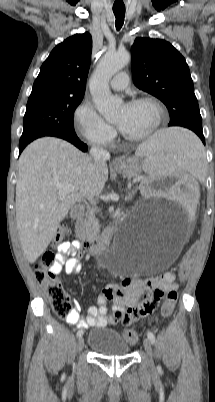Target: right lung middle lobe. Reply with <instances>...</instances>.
Listing matches in <instances>:
<instances>
[{
    "mask_svg": "<svg viewBox=\"0 0 215 402\" xmlns=\"http://www.w3.org/2000/svg\"><path fill=\"white\" fill-rule=\"evenodd\" d=\"M83 96L42 93L30 96L19 145L43 136L74 134L73 115Z\"/></svg>",
    "mask_w": 215,
    "mask_h": 402,
    "instance_id": "obj_1",
    "label": "right lung middle lobe"
}]
</instances>
